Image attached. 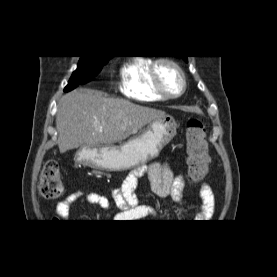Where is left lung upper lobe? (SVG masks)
<instances>
[{"mask_svg": "<svg viewBox=\"0 0 277 277\" xmlns=\"http://www.w3.org/2000/svg\"><path fill=\"white\" fill-rule=\"evenodd\" d=\"M182 58L185 60V62H188L187 56H183Z\"/></svg>", "mask_w": 277, "mask_h": 277, "instance_id": "obj_1", "label": "left lung upper lobe"}]
</instances>
